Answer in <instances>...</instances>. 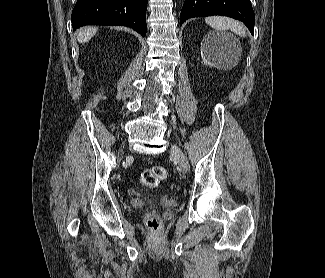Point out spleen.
Listing matches in <instances>:
<instances>
[{
	"mask_svg": "<svg viewBox=\"0 0 325 278\" xmlns=\"http://www.w3.org/2000/svg\"><path fill=\"white\" fill-rule=\"evenodd\" d=\"M206 23L218 31L230 29L238 36L245 37L246 32L243 25L233 19L221 16H212L205 19Z\"/></svg>",
	"mask_w": 325,
	"mask_h": 278,
	"instance_id": "1",
	"label": "spleen"
}]
</instances>
